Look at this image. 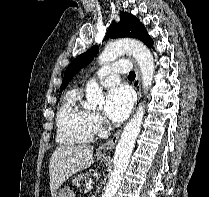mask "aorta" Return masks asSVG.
Here are the masks:
<instances>
[{
  "label": "aorta",
  "instance_id": "1",
  "mask_svg": "<svg viewBox=\"0 0 209 197\" xmlns=\"http://www.w3.org/2000/svg\"><path fill=\"white\" fill-rule=\"evenodd\" d=\"M129 53L132 55L141 70L142 84L145 90L152 85L154 76V60L150 50L141 42L133 39L117 40L104 49L99 56L100 64L114 61L119 56ZM86 107L95 108L103 99V91L94 79L87 83ZM145 113L144 104H140L133 118L125 126L121 138L116 146L114 154V169L102 197H115L123 175L128 167L135 141L141 130L143 116Z\"/></svg>",
  "mask_w": 209,
  "mask_h": 197
}]
</instances>
